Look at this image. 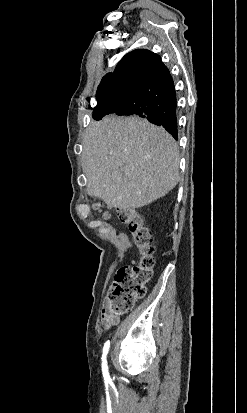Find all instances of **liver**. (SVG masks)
Masks as SVG:
<instances>
[{
    "instance_id": "6515ba94",
    "label": "liver",
    "mask_w": 247,
    "mask_h": 413,
    "mask_svg": "<svg viewBox=\"0 0 247 413\" xmlns=\"http://www.w3.org/2000/svg\"><path fill=\"white\" fill-rule=\"evenodd\" d=\"M82 168L90 196L123 211L139 209L176 186L178 144L146 118L108 114L86 128Z\"/></svg>"
}]
</instances>
